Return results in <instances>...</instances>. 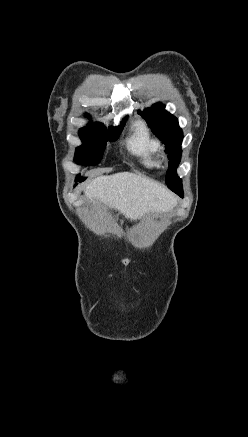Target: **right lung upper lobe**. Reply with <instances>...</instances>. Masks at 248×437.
Listing matches in <instances>:
<instances>
[{
	"label": "right lung upper lobe",
	"mask_w": 248,
	"mask_h": 437,
	"mask_svg": "<svg viewBox=\"0 0 248 437\" xmlns=\"http://www.w3.org/2000/svg\"><path fill=\"white\" fill-rule=\"evenodd\" d=\"M89 125H93V126H98V125H101V124H99V123H94V124H89Z\"/></svg>",
	"instance_id": "obj_1"
}]
</instances>
